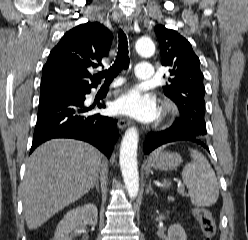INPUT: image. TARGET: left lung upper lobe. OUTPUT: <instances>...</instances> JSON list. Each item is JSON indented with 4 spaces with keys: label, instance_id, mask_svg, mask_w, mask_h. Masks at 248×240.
<instances>
[{
    "label": "left lung upper lobe",
    "instance_id": "5c2ea615",
    "mask_svg": "<svg viewBox=\"0 0 248 240\" xmlns=\"http://www.w3.org/2000/svg\"><path fill=\"white\" fill-rule=\"evenodd\" d=\"M154 30L160 44L161 63L169 67L171 75L163 90L180 112L173 126L187 127L205 135V87L200 60L191 44L175 30L163 25L155 26Z\"/></svg>",
    "mask_w": 248,
    "mask_h": 240
}]
</instances>
